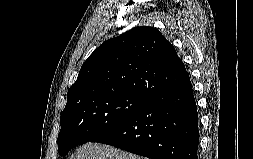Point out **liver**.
Segmentation results:
<instances>
[{
	"label": "liver",
	"instance_id": "6515ba94",
	"mask_svg": "<svg viewBox=\"0 0 253 159\" xmlns=\"http://www.w3.org/2000/svg\"><path fill=\"white\" fill-rule=\"evenodd\" d=\"M70 159H148L135 154L99 143L88 142L70 157Z\"/></svg>",
	"mask_w": 253,
	"mask_h": 159
}]
</instances>
